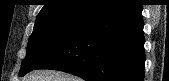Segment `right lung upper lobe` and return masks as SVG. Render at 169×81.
<instances>
[{
	"instance_id": "cb5924a9",
	"label": "right lung upper lobe",
	"mask_w": 169,
	"mask_h": 81,
	"mask_svg": "<svg viewBox=\"0 0 169 81\" xmlns=\"http://www.w3.org/2000/svg\"><path fill=\"white\" fill-rule=\"evenodd\" d=\"M124 0H46L36 20L72 15L91 19Z\"/></svg>"
}]
</instances>
